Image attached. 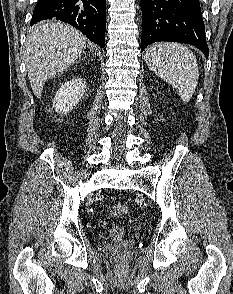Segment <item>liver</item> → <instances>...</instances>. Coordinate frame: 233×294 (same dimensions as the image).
Listing matches in <instances>:
<instances>
[{"label":"liver","instance_id":"6515ba94","mask_svg":"<svg viewBox=\"0 0 233 294\" xmlns=\"http://www.w3.org/2000/svg\"><path fill=\"white\" fill-rule=\"evenodd\" d=\"M87 40L70 25L44 21L34 26L26 42V69L34 95L41 96L45 82L63 73L82 55Z\"/></svg>","mask_w":233,"mask_h":294}]
</instances>
